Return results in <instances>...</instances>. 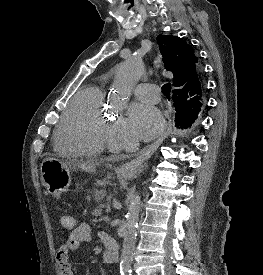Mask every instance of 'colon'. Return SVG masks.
Masks as SVG:
<instances>
[{"instance_id":"obj_1","label":"colon","mask_w":263,"mask_h":275,"mask_svg":"<svg viewBox=\"0 0 263 275\" xmlns=\"http://www.w3.org/2000/svg\"><path fill=\"white\" fill-rule=\"evenodd\" d=\"M60 224L62 228L70 230L75 226V219L71 215H62L60 217Z\"/></svg>"}]
</instances>
